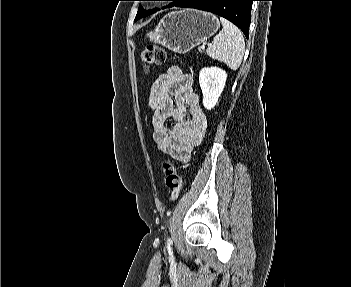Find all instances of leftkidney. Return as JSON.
Segmentation results:
<instances>
[{"instance_id":"obj_1","label":"left kidney","mask_w":351,"mask_h":287,"mask_svg":"<svg viewBox=\"0 0 351 287\" xmlns=\"http://www.w3.org/2000/svg\"><path fill=\"white\" fill-rule=\"evenodd\" d=\"M227 73L218 67H205L199 73V84L203 93V105L211 110L215 107L225 87Z\"/></svg>"}]
</instances>
